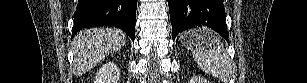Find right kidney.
<instances>
[{
	"mask_svg": "<svg viewBox=\"0 0 307 83\" xmlns=\"http://www.w3.org/2000/svg\"><path fill=\"white\" fill-rule=\"evenodd\" d=\"M119 80L120 70L114 62H107L97 71L94 83H118Z\"/></svg>",
	"mask_w": 307,
	"mask_h": 83,
	"instance_id": "1",
	"label": "right kidney"
}]
</instances>
